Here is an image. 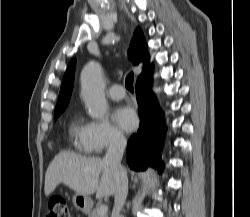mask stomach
I'll return each mask as SVG.
<instances>
[{
    "label": "stomach",
    "mask_w": 250,
    "mask_h": 217,
    "mask_svg": "<svg viewBox=\"0 0 250 217\" xmlns=\"http://www.w3.org/2000/svg\"><path fill=\"white\" fill-rule=\"evenodd\" d=\"M72 201H73L74 206L78 210H80L84 214L90 213L92 206H93V201L89 195H82V194L76 193L73 196Z\"/></svg>",
    "instance_id": "1"
}]
</instances>
